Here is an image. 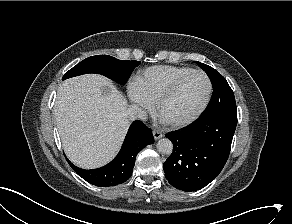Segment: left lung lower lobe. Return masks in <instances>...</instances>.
Returning a JSON list of instances; mask_svg holds the SVG:
<instances>
[{
	"mask_svg": "<svg viewBox=\"0 0 292 224\" xmlns=\"http://www.w3.org/2000/svg\"><path fill=\"white\" fill-rule=\"evenodd\" d=\"M236 124L237 108L230 106L166 134L173 143V152L163 166L168 182L183 191L208 185L228 159Z\"/></svg>",
	"mask_w": 292,
	"mask_h": 224,
	"instance_id": "obj_1",
	"label": "left lung lower lobe"
}]
</instances>
